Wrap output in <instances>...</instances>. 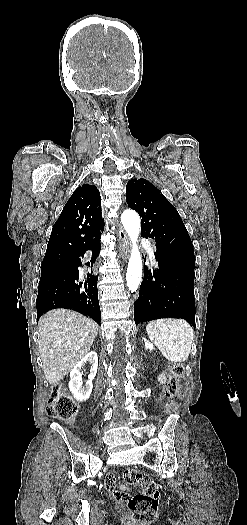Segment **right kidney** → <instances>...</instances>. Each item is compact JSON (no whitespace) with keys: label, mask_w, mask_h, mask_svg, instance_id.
Masks as SVG:
<instances>
[{"label":"right kidney","mask_w":247,"mask_h":525,"mask_svg":"<svg viewBox=\"0 0 247 525\" xmlns=\"http://www.w3.org/2000/svg\"><path fill=\"white\" fill-rule=\"evenodd\" d=\"M85 363H89V365H91V369L89 371L88 381H86L83 387L82 375L80 371L81 369H83V367H85ZM97 367V353H95V351H90V353H87V355H85V357H83V359H81V361L77 363L76 367L72 369L70 373V381L68 383V387L71 393H73L74 399H76V401H79V403H83V401H88L92 393V381L94 377H96Z\"/></svg>","instance_id":"1"}]
</instances>
